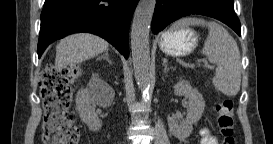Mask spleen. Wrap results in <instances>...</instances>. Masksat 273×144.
<instances>
[{"label": "spleen", "instance_id": "spleen-1", "mask_svg": "<svg viewBox=\"0 0 273 144\" xmlns=\"http://www.w3.org/2000/svg\"><path fill=\"white\" fill-rule=\"evenodd\" d=\"M188 25L209 29V34L201 51L211 63L216 64L213 85L227 96H235L241 85L240 51L234 38L220 24L199 18H184L174 23L171 29Z\"/></svg>", "mask_w": 273, "mask_h": 144}]
</instances>
